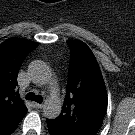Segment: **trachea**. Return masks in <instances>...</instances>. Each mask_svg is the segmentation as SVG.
I'll use <instances>...</instances> for the list:
<instances>
[{
  "label": "trachea",
  "mask_w": 135,
  "mask_h": 135,
  "mask_svg": "<svg viewBox=\"0 0 135 135\" xmlns=\"http://www.w3.org/2000/svg\"><path fill=\"white\" fill-rule=\"evenodd\" d=\"M27 100L36 101L37 103H41L43 101V97L41 95H35L33 92H29L26 95Z\"/></svg>",
  "instance_id": "3493384b"
}]
</instances>
